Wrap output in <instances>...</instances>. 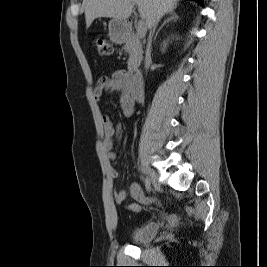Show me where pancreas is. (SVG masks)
I'll return each instance as SVG.
<instances>
[{
	"instance_id": "obj_1",
	"label": "pancreas",
	"mask_w": 267,
	"mask_h": 267,
	"mask_svg": "<svg viewBox=\"0 0 267 267\" xmlns=\"http://www.w3.org/2000/svg\"><path fill=\"white\" fill-rule=\"evenodd\" d=\"M123 50L129 53L128 72L132 74L133 72L137 71L143 58L140 37L134 33L129 34L125 39Z\"/></svg>"
}]
</instances>
